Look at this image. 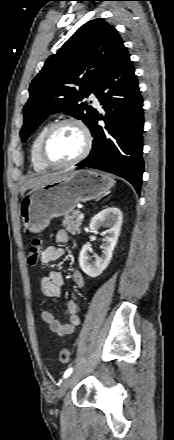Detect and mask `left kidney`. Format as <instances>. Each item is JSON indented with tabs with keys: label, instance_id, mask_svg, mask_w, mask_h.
<instances>
[{
	"label": "left kidney",
	"instance_id": "5707ae66",
	"mask_svg": "<svg viewBox=\"0 0 174 440\" xmlns=\"http://www.w3.org/2000/svg\"><path fill=\"white\" fill-rule=\"evenodd\" d=\"M122 219V212L116 207L106 208L91 219L90 230L95 233L100 227L104 226L107 228V235L104 237L105 245L103 247L102 255L100 257L95 256V261L93 262L88 255L90 244L86 243L82 247L79 255V265L82 271L88 276H99L109 265L113 250L120 235Z\"/></svg>",
	"mask_w": 174,
	"mask_h": 440
}]
</instances>
